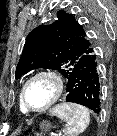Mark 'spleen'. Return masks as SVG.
Returning <instances> with one entry per match:
<instances>
[{"label": "spleen", "instance_id": "1", "mask_svg": "<svg viewBox=\"0 0 117 136\" xmlns=\"http://www.w3.org/2000/svg\"><path fill=\"white\" fill-rule=\"evenodd\" d=\"M51 115L67 123L65 132L68 136H78L90 123L88 109L75 103L59 104L51 110Z\"/></svg>", "mask_w": 117, "mask_h": 136}]
</instances>
